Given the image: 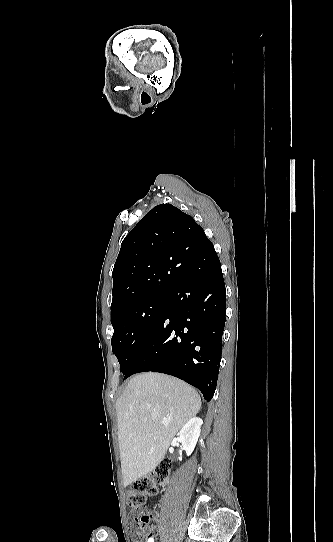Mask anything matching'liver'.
Instances as JSON below:
<instances>
[{"mask_svg": "<svg viewBox=\"0 0 333 542\" xmlns=\"http://www.w3.org/2000/svg\"><path fill=\"white\" fill-rule=\"evenodd\" d=\"M201 404L194 388L172 376L144 372L131 378L116 402L124 488L162 462L172 438Z\"/></svg>", "mask_w": 333, "mask_h": 542, "instance_id": "6515ba94", "label": "liver"}]
</instances>
